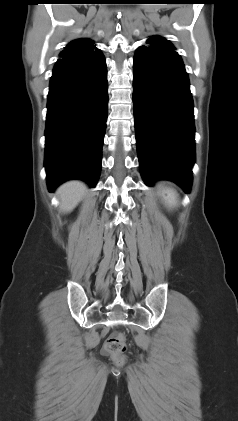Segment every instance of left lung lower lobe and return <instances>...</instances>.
<instances>
[{"instance_id": "0a47b994", "label": "left lung lower lobe", "mask_w": 238, "mask_h": 421, "mask_svg": "<svg viewBox=\"0 0 238 421\" xmlns=\"http://www.w3.org/2000/svg\"><path fill=\"white\" fill-rule=\"evenodd\" d=\"M174 49L141 46L133 64V106L140 171L146 185L167 179L186 193L195 162L193 100Z\"/></svg>"}]
</instances>
